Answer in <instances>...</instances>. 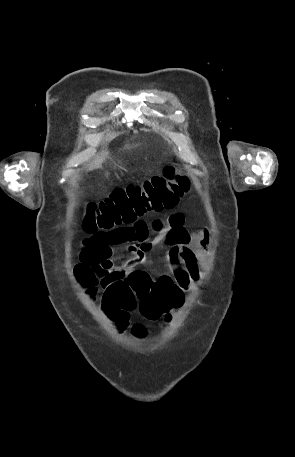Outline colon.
<instances>
[{"instance_id": "5ec220e1", "label": "colon", "mask_w": 295, "mask_h": 457, "mask_svg": "<svg viewBox=\"0 0 295 457\" xmlns=\"http://www.w3.org/2000/svg\"><path fill=\"white\" fill-rule=\"evenodd\" d=\"M188 187V179L169 164L162 174L142 184L116 188L104 200L90 203L83 226L88 232L130 226L148 213L175 207ZM75 275L89 292L94 291L98 279L103 281L106 286L104 310L121 326L128 323L130 312L138 302L141 313L149 320L159 319L177 305V289L171 279L164 277L154 281L149 273L140 270L126 276L122 267L114 265L111 259L102 264L79 262ZM135 332L143 335L141 328Z\"/></svg>"}]
</instances>
